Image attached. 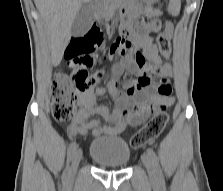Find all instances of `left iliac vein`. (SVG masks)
I'll list each match as a JSON object with an SVG mask.
<instances>
[{
  "label": "left iliac vein",
  "mask_w": 223,
  "mask_h": 191,
  "mask_svg": "<svg viewBox=\"0 0 223 191\" xmlns=\"http://www.w3.org/2000/svg\"><path fill=\"white\" fill-rule=\"evenodd\" d=\"M141 159L147 170L150 180L154 182L156 180V173H155V168L150 157L147 154H143Z\"/></svg>",
  "instance_id": "1"
}]
</instances>
